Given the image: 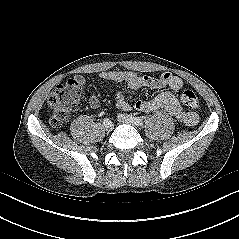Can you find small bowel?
<instances>
[{
  "label": "small bowel",
  "instance_id": "small-bowel-1",
  "mask_svg": "<svg viewBox=\"0 0 239 239\" xmlns=\"http://www.w3.org/2000/svg\"><path fill=\"white\" fill-rule=\"evenodd\" d=\"M99 77L105 82H126L131 89L150 88L160 90L168 88L171 91H178L183 86V80L179 76L168 72L163 73L159 77H152L134 72L111 70L101 72ZM75 80L82 85L86 84V79L83 76H77ZM171 91H162L151 100H138L131 104L121 91L116 90V106L124 111L135 108L144 113L166 110L182 124L186 126L196 125L199 119L198 114L184 110L177 97ZM88 102L92 109H97L100 106V100L97 96H91Z\"/></svg>",
  "mask_w": 239,
  "mask_h": 239
}]
</instances>
